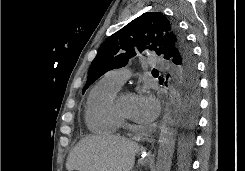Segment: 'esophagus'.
I'll use <instances>...</instances> for the list:
<instances>
[{
	"label": "esophagus",
	"mask_w": 245,
	"mask_h": 171,
	"mask_svg": "<svg viewBox=\"0 0 245 171\" xmlns=\"http://www.w3.org/2000/svg\"><path fill=\"white\" fill-rule=\"evenodd\" d=\"M153 142V141H152ZM149 156H151V151L149 150V151H144L143 152V157L144 158H147V157H149Z\"/></svg>",
	"instance_id": "obj_1"
}]
</instances>
